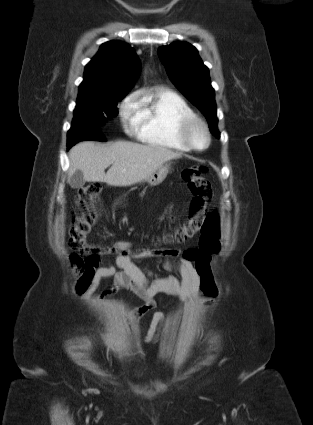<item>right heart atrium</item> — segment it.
<instances>
[{"mask_svg":"<svg viewBox=\"0 0 313 425\" xmlns=\"http://www.w3.org/2000/svg\"><path fill=\"white\" fill-rule=\"evenodd\" d=\"M137 114L138 98L136 94H132L123 101L120 107V116L127 129H135Z\"/></svg>","mask_w":313,"mask_h":425,"instance_id":"right-heart-atrium-1","label":"right heart atrium"}]
</instances>
